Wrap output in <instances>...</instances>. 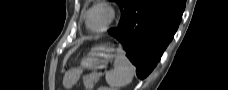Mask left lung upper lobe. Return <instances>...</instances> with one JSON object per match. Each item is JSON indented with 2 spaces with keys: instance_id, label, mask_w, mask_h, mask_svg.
<instances>
[{
  "instance_id": "left-lung-upper-lobe-1",
  "label": "left lung upper lobe",
  "mask_w": 228,
  "mask_h": 90,
  "mask_svg": "<svg viewBox=\"0 0 228 90\" xmlns=\"http://www.w3.org/2000/svg\"><path fill=\"white\" fill-rule=\"evenodd\" d=\"M118 5L120 6L121 11L126 6V4L129 2V0H114Z\"/></svg>"
}]
</instances>
